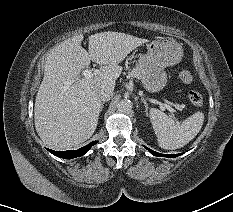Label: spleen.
<instances>
[{
    "label": "spleen",
    "mask_w": 233,
    "mask_h": 212,
    "mask_svg": "<svg viewBox=\"0 0 233 212\" xmlns=\"http://www.w3.org/2000/svg\"><path fill=\"white\" fill-rule=\"evenodd\" d=\"M149 118L159 146L166 150H175L189 143L200 132L204 122L201 111L178 123L164 112L151 108Z\"/></svg>",
    "instance_id": "spleen-1"
}]
</instances>
